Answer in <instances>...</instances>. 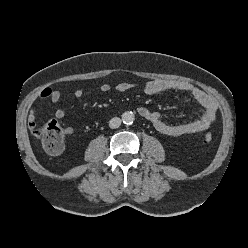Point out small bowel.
Wrapping results in <instances>:
<instances>
[{
  "instance_id": "obj_1",
  "label": "small bowel",
  "mask_w": 248,
  "mask_h": 248,
  "mask_svg": "<svg viewBox=\"0 0 248 248\" xmlns=\"http://www.w3.org/2000/svg\"><path fill=\"white\" fill-rule=\"evenodd\" d=\"M135 88V84L127 81L119 82L116 85V90L119 92H126ZM111 86L108 83H103L100 86V90L103 93H109ZM167 90H177L181 92L189 93L195 101H197L203 108L201 117L195 121L169 124L162 119V116L157 111L149 110L144 106H139L137 109L138 114L150 122L153 127L160 133L169 136H180L184 134H191L196 132H203L207 130L211 124L215 121L217 113V103L202 89L192 85L191 83L183 80H170V79H157L149 81L144 86V93L148 96H152ZM73 96L76 99H80L83 96L81 89H75ZM62 98V94L59 90L52 88H45L39 94V99H49L52 103H58ZM55 117L61 119L65 116V112L62 108H56ZM28 127L33 135L36 136V113L32 108L28 115ZM72 128H66V133L71 134Z\"/></svg>"
}]
</instances>
